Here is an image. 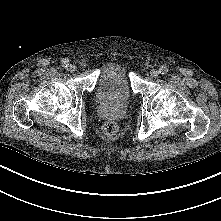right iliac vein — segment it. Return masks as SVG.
Returning <instances> with one entry per match:
<instances>
[{"mask_svg":"<svg viewBox=\"0 0 221 221\" xmlns=\"http://www.w3.org/2000/svg\"><path fill=\"white\" fill-rule=\"evenodd\" d=\"M68 69H69V71H70V72H72V73H73V72H75V71L77 70V66H76V65H74V64H71V65L69 66V68H68Z\"/></svg>","mask_w":221,"mask_h":221,"instance_id":"1","label":"right iliac vein"}]
</instances>
